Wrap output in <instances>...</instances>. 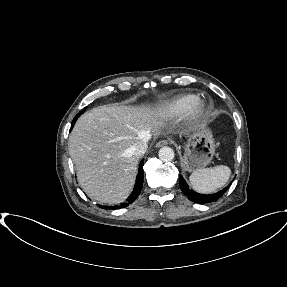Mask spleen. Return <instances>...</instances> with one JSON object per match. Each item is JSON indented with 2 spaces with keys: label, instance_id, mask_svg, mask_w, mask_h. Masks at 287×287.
<instances>
[{
  "label": "spleen",
  "instance_id": "3e777b00",
  "mask_svg": "<svg viewBox=\"0 0 287 287\" xmlns=\"http://www.w3.org/2000/svg\"><path fill=\"white\" fill-rule=\"evenodd\" d=\"M230 174V168L225 165L204 168L194 171L190 175V183L193 189L199 193H212L228 182Z\"/></svg>",
  "mask_w": 287,
  "mask_h": 287
}]
</instances>
